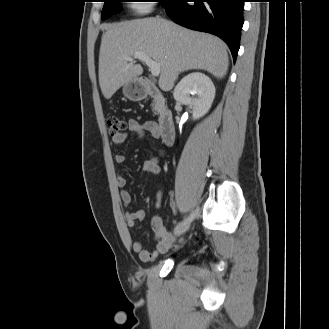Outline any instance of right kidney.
<instances>
[{
    "label": "right kidney",
    "instance_id": "obj_1",
    "mask_svg": "<svg viewBox=\"0 0 329 329\" xmlns=\"http://www.w3.org/2000/svg\"><path fill=\"white\" fill-rule=\"evenodd\" d=\"M173 96L181 104L192 106L193 120H197L211 108L215 97V87L208 76L200 72H193L177 84Z\"/></svg>",
    "mask_w": 329,
    "mask_h": 329
}]
</instances>
